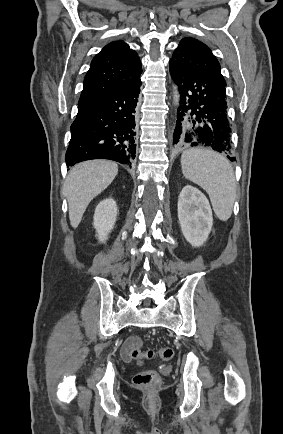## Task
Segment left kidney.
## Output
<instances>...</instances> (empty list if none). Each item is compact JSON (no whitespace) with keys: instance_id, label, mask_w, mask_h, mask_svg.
I'll use <instances>...</instances> for the list:
<instances>
[{"instance_id":"5707ae66","label":"left kidney","mask_w":283,"mask_h":434,"mask_svg":"<svg viewBox=\"0 0 283 434\" xmlns=\"http://www.w3.org/2000/svg\"><path fill=\"white\" fill-rule=\"evenodd\" d=\"M178 219L182 234L193 247L202 246L211 232L213 216L206 196L186 185L178 198Z\"/></svg>"}]
</instances>
